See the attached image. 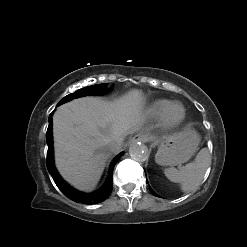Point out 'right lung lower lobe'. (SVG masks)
<instances>
[{
    "instance_id": "right-lung-lower-lobe-1",
    "label": "right lung lower lobe",
    "mask_w": 247,
    "mask_h": 247,
    "mask_svg": "<svg viewBox=\"0 0 247 247\" xmlns=\"http://www.w3.org/2000/svg\"><path fill=\"white\" fill-rule=\"evenodd\" d=\"M61 105L58 103L57 106ZM46 141L48 145V152H47V169L51 174L55 184L57 187L71 200L77 203H85V204H95L100 203L107 199L112 191V173L113 168L119 158L123 155L120 153L111 163L109 175L107 178L106 183L100 188L99 190L92 192V193H82L75 189H73L70 185L63 181V179L58 174L57 170L54 166L53 160V141H52V114L49 116V126L46 133Z\"/></svg>"
}]
</instances>
